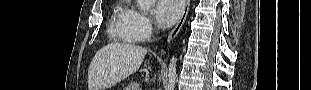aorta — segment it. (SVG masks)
<instances>
[{"label":"aorta","instance_id":"aorta-1","mask_svg":"<svg viewBox=\"0 0 311 90\" xmlns=\"http://www.w3.org/2000/svg\"><path fill=\"white\" fill-rule=\"evenodd\" d=\"M156 0H137L138 7L141 11L148 12L150 8L155 4ZM177 59L175 56H172L170 59V64L168 68V83L165 87V90H174L177 78V69H176Z\"/></svg>","mask_w":311,"mask_h":90}]
</instances>
